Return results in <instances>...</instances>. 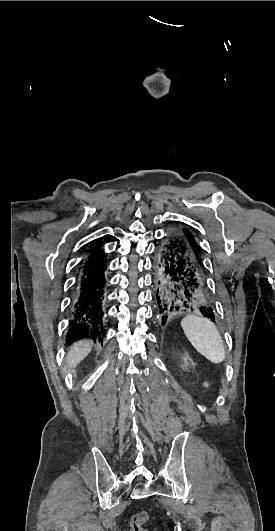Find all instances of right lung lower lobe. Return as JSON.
Listing matches in <instances>:
<instances>
[{
    "label": "right lung lower lobe",
    "instance_id": "1",
    "mask_svg": "<svg viewBox=\"0 0 275 531\" xmlns=\"http://www.w3.org/2000/svg\"><path fill=\"white\" fill-rule=\"evenodd\" d=\"M107 269L104 252L98 246L84 261L73 297V311L67 334L68 341L84 336H103V300Z\"/></svg>",
    "mask_w": 275,
    "mask_h": 531
}]
</instances>
